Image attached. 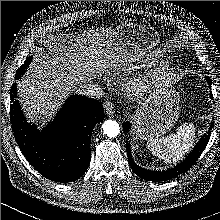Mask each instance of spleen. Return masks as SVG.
<instances>
[{"label":"spleen","mask_w":220,"mask_h":220,"mask_svg":"<svg viewBox=\"0 0 220 220\" xmlns=\"http://www.w3.org/2000/svg\"><path fill=\"white\" fill-rule=\"evenodd\" d=\"M195 127L192 123L181 125L175 134L163 139H150L147 147L150 152L167 164L176 163L187 154L193 146Z\"/></svg>","instance_id":"1"}]
</instances>
